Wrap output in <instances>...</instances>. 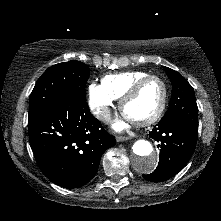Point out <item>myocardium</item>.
Segmentation results:
<instances>
[{
  "label": "myocardium",
  "instance_id": "myocardium-1",
  "mask_svg": "<svg viewBox=\"0 0 221 221\" xmlns=\"http://www.w3.org/2000/svg\"><path fill=\"white\" fill-rule=\"evenodd\" d=\"M151 80H157L161 86H162V98L160 105L156 112L151 115L150 117L142 120H133L126 116L125 114V107L129 101H131L141 90V88L149 81ZM167 98H168V88L166 82L157 75H147L141 79H139L120 99L119 108L121 113L129 119L132 123H134L137 126H148L150 124H153L157 120L160 119V117L163 115L166 104H167Z\"/></svg>",
  "mask_w": 221,
  "mask_h": 221
}]
</instances>
